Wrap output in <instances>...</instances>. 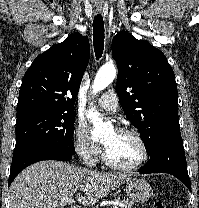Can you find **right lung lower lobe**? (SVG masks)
Instances as JSON below:
<instances>
[{
	"mask_svg": "<svg viewBox=\"0 0 199 208\" xmlns=\"http://www.w3.org/2000/svg\"><path fill=\"white\" fill-rule=\"evenodd\" d=\"M73 154L67 153L57 147L32 148L22 152L18 157L12 159L8 187L15 177L27 166L42 160L69 161Z\"/></svg>",
	"mask_w": 199,
	"mask_h": 208,
	"instance_id": "obj_1",
	"label": "right lung lower lobe"
}]
</instances>
